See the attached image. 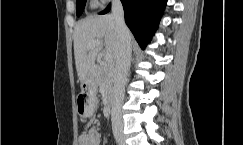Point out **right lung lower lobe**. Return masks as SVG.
<instances>
[{
	"label": "right lung lower lobe",
	"mask_w": 243,
	"mask_h": 145,
	"mask_svg": "<svg viewBox=\"0 0 243 145\" xmlns=\"http://www.w3.org/2000/svg\"><path fill=\"white\" fill-rule=\"evenodd\" d=\"M125 22L140 47L144 49L158 28L167 0H121ZM111 6L100 14L109 12Z\"/></svg>",
	"instance_id": "obj_1"
}]
</instances>
